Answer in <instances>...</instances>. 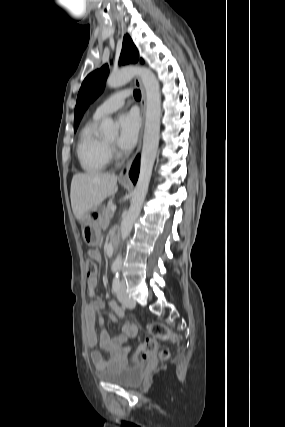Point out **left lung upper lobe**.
Returning <instances> with one entry per match:
<instances>
[{"mask_svg": "<svg viewBox=\"0 0 285 427\" xmlns=\"http://www.w3.org/2000/svg\"><path fill=\"white\" fill-rule=\"evenodd\" d=\"M139 61V53L132 42V39L127 34L124 36L122 51L119 59L120 64L136 63ZM143 63V60L140 59ZM109 73L108 65H104L100 69L90 73L83 81L78 93L77 103L75 107L74 130L76 131L78 124L83 116L84 111L89 104L94 101L99 94L102 93L105 81Z\"/></svg>", "mask_w": 285, "mask_h": 427, "instance_id": "left-lung-upper-lobe-1", "label": "left lung upper lobe"}]
</instances>
